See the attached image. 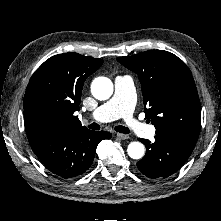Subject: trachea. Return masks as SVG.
<instances>
[{
	"label": "trachea",
	"instance_id": "obj_1",
	"mask_svg": "<svg viewBox=\"0 0 221 221\" xmlns=\"http://www.w3.org/2000/svg\"><path fill=\"white\" fill-rule=\"evenodd\" d=\"M89 128L93 130H99L100 125L97 123H92L91 125H89ZM115 131L119 133H124V134L130 133V130L127 127L120 126V125L115 127Z\"/></svg>",
	"mask_w": 221,
	"mask_h": 221
}]
</instances>
